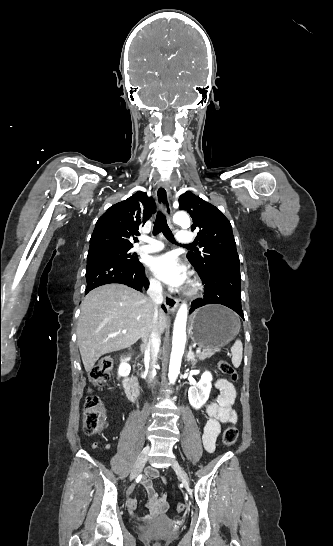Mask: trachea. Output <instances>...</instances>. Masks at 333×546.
<instances>
[{
	"mask_svg": "<svg viewBox=\"0 0 333 546\" xmlns=\"http://www.w3.org/2000/svg\"><path fill=\"white\" fill-rule=\"evenodd\" d=\"M160 232H162L163 235L170 242L176 243L175 238H174L170 228L168 227V224H167V221H166V216L161 211H158L157 216H156V220H155V223H154V227H153V235H157ZM188 246H190V245H188Z\"/></svg>",
	"mask_w": 333,
	"mask_h": 546,
	"instance_id": "obj_1",
	"label": "trachea"
}]
</instances>
